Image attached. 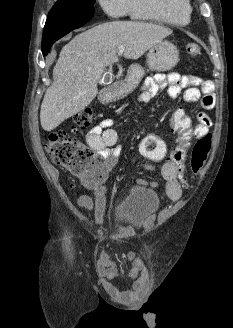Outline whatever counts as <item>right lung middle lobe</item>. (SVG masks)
<instances>
[{
	"label": "right lung middle lobe",
	"mask_w": 233,
	"mask_h": 328,
	"mask_svg": "<svg viewBox=\"0 0 233 328\" xmlns=\"http://www.w3.org/2000/svg\"><path fill=\"white\" fill-rule=\"evenodd\" d=\"M95 0H58L49 16H91Z\"/></svg>",
	"instance_id": "1"
}]
</instances>
